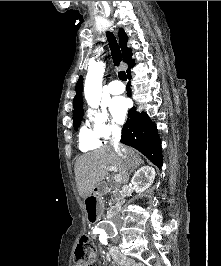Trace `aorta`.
Instances as JSON below:
<instances>
[{"label":"aorta","instance_id":"1","mask_svg":"<svg viewBox=\"0 0 221 266\" xmlns=\"http://www.w3.org/2000/svg\"><path fill=\"white\" fill-rule=\"evenodd\" d=\"M103 74L104 64L102 62H95L88 68L84 83V95L88 105L92 108H97L100 104Z\"/></svg>","mask_w":221,"mask_h":266}]
</instances>
